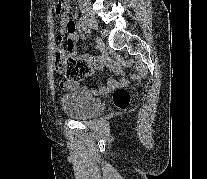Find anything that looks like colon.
<instances>
[{
    "label": "colon",
    "mask_w": 207,
    "mask_h": 179,
    "mask_svg": "<svg viewBox=\"0 0 207 179\" xmlns=\"http://www.w3.org/2000/svg\"><path fill=\"white\" fill-rule=\"evenodd\" d=\"M55 12L58 16H67L70 12V5L68 0H56ZM68 47V41L66 43ZM69 48V47H68ZM91 71V68L86 61L77 60L73 58L66 48L64 42L59 39V51L57 54V73L63 84H72L81 81ZM129 93L123 88H117L112 94L113 104L119 108L124 109L129 103Z\"/></svg>",
    "instance_id": "5ec220e1"
}]
</instances>
